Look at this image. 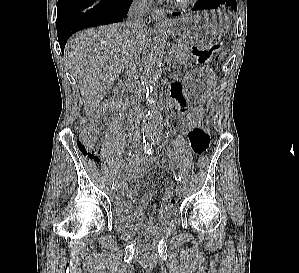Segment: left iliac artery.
I'll list each match as a JSON object with an SVG mask.
<instances>
[{
	"instance_id": "44dca946",
	"label": "left iliac artery",
	"mask_w": 299,
	"mask_h": 273,
	"mask_svg": "<svg viewBox=\"0 0 299 273\" xmlns=\"http://www.w3.org/2000/svg\"><path fill=\"white\" fill-rule=\"evenodd\" d=\"M158 140H156L155 142H157ZM154 144V141L153 142H148L146 145H145V152L147 154H152L153 150H152V146ZM175 180L179 183L181 181V177L180 175L178 174H175Z\"/></svg>"
}]
</instances>
